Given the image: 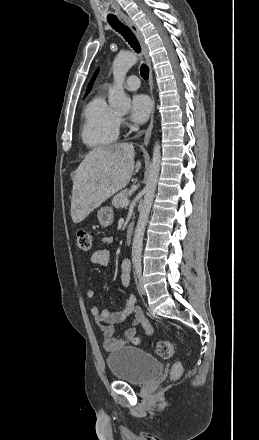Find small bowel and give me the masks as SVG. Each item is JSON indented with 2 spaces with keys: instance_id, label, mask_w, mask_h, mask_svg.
Wrapping results in <instances>:
<instances>
[{
  "instance_id": "c3829d8e",
  "label": "small bowel",
  "mask_w": 259,
  "mask_h": 440,
  "mask_svg": "<svg viewBox=\"0 0 259 440\" xmlns=\"http://www.w3.org/2000/svg\"><path fill=\"white\" fill-rule=\"evenodd\" d=\"M112 240V237H105L103 239L106 243H110ZM91 262L97 265L107 266L110 262V252L106 249L95 251L91 256ZM120 270L121 284L124 287H128L131 281V262L128 258L122 260ZM95 295L96 292L94 290L90 289L86 292V296L89 299L94 298ZM90 312L102 332L104 347L109 350L121 347L132 340L136 335L135 326L137 325H142L147 335H151L153 332L150 321L144 315L142 309L137 306L136 298L133 294L129 295L123 308L118 311L111 312L105 308L101 309L98 306H92ZM130 316H132V326L127 328L123 335L116 334L115 325L123 323Z\"/></svg>"
}]
</instances>
